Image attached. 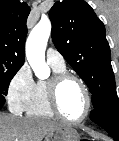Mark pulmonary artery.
<instances>
[{"label": "pulmonary artery", "mask_w": 119, "mask_h": 141, "mask_svg": "<svg viewBox=\"0 0 119 141\" xmlns=\"http://www.w3.org/2000/svg\"><path fill=\"white\" fill-rule=\"evenodd\" d=\"M46 59L49 64L55 66H65L64 57L54 48L47 49Z\"/></svg>", "instance_id": "1"}]
</instances>
